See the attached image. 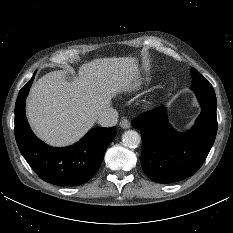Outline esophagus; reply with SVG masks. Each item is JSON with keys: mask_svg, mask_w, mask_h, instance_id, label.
Listing matches in <instances>:
<instances>
[{"mask_svg": "<svg viewBox=\"0 0 233 233\" xmlns=\"http://www.w3.org/2000/svg\"><path fill=\"white\" fill-rule=\"evenodd\" d=\"M119 126H120L121 128H123V129H128V128L131 127V124H130L129 120H127V119L124 118V119H122V120L120 121Z\"/></svg>", "mask_w": 233, "mask_h": 233, "instance_id": "esophagus-1", "label": "esophagus"}]
</instances>
